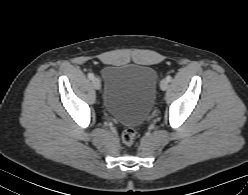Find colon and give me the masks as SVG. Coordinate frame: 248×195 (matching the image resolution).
<instances>
[{
  "label": "colon",
  "mask_w": 248,
  "mask_h": 195,
  "mask_svg": "<svg viewBox=\"0 0 248 195\" xmlns=\"http://www.w3.org/2000/svg\"><path fill=\"white\" fill-rule=\"evenodd\" d=\"M136 139V130L132 127L126 128L122 133V142L126 147L133 146Z\"/></svg>",
  "instance_id": "5ec220e1"
}]
</instances>
